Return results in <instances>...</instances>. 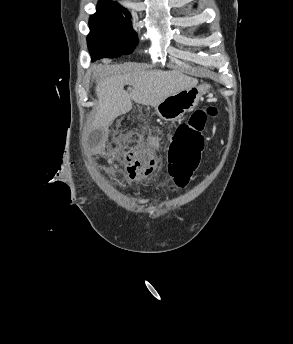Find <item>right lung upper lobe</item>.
Listing matches in <instances>:
<instances>
[{
    "label": "right lung upper lobe",
    "mask_w": 293,
    "mask_h": 344,
    "mask_svg": "<svg viewBox=\"0 0 293 344\" xmlns=\"http://www.w3.org/2000/svg\"><path fill=\"white\" fill-rule=\"evenodd\" d=\"M98 6L101 8H110V9H117V10H126L118 3H115L111 0H99Z\"/></svg>",
    "instance_id": "1"
}]
</instances>
